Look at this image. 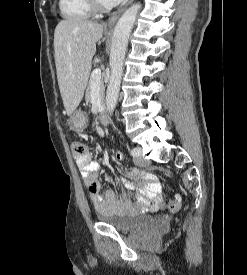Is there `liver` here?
Masks as SVG:
<instances>
[{"label":"liver","mask_w":247,"mask_h":275,"mask_svg":"<svg viewBox=\"0 0 247 275\" xmlns=\"http://www.w3.org/2000/svg\"><path fill=\"white\" fill-rule=\"evenodd\" d=\"M103 25L81 18L58 23L54 32L55 65L63 104L70 116L80 104Z\"/></svg>","instance_id":"6515ba94"}]
</instances>
